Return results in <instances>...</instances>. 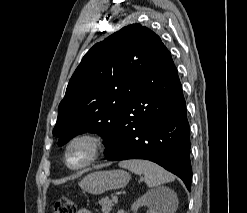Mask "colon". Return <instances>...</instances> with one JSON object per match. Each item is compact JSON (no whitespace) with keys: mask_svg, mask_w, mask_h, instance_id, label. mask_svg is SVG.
<instances>
[{"mask_svg":"<svg viewBox=\"0 0 247 213\" xmlns=\"http://www.w3.org/2000/svg\"><path fill=\"white\" fill-rule=\"evenodd\" d=\"M54 213H75V204L72 199L63 197L56 201Z\"/></svg>","mask_w":247,"mask_h":213,"instance_id":"colon-1","label":"colon"}]
</instances>
